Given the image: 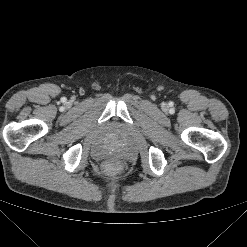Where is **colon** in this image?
<instances>
[{"mask_svg":"<svg viewBox=\"0 0 247 247\" xmlns=\"http://www.w3.org/2000/svg\"><path fill=\"white\" fill-rule=\"evenodd\" d=\"M103 168L107 173H115L119 170L120 164L116 161H108L104 164Z\"/></svg>","mask_w":247,"mask_h":247,"instance_id":"obj_1","label":"colon"}]
</instances>
